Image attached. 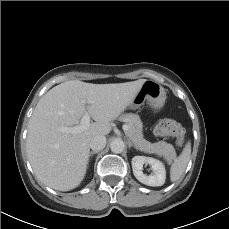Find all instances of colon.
Segmentation results:
<instances>
[{
  "instance_id": "1",
  "label": "colon",
  "mask_w": 229,
  "mask_h": 229,
  "mask_svg": "<svg viewBox=\"0 0 229 229\" xmlns=\"http://www.w3.org/2000/svg\"><path fill=\"white\" fill-rule=\"evenodd\" d=\"M155 131L160 136L174 137L179 146H183L185 142V130L184 128L175 122L173 119L165 118L161 119L156 127Z\"/></svg>"
}]
</instances>
